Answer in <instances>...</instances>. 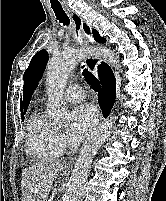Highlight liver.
Instances as JSON below:
<instances>
[{"instance_id":"6515ba94","label":"liver","mask_w":166,"mask_h":201,"mask_svg":"<svg viewBox=\"0 0 166 201\" xmlns=\"http://www.w3.org/2000/svg\"><path fill=\"white\" fill-rule=\"evenodd\" d=\"M60 162H37L22 173V201H47L58 174L63 170Z\"/></svg>"}]
</instances>
